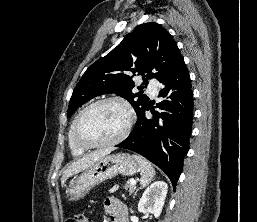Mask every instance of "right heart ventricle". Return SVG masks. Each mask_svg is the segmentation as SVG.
<instances>
[{"label":"right heart ventricle","instance_id":"right-heart-ventricle-1","mask_svg":"<svg viewBox=\"0 0 257 222\" xmlns=\"http://www.w3.org/2000/svg\"><path fill=\"white\" fill-rule=\"evenodd\" d=\"M74 121L72 122V124H71V126L69 128V131H68V144H69V148L71 150V153L74 156H78V155L83 154L86 150L83 149V148L78 147L75 144V142L73 141V138H72V127H73Z\"/></svg>","mask_w":257,"mask_h":222}]
</instances>
